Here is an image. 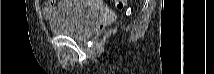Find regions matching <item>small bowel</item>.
<instances>
[{
	"label": "small bowel",
	"instance_id": "obj_1",
	"mask_svg": "<svg viewBox=\"0 0 214 74\" xmlns=\"http://www.w3.org/2000/svg\"><path fill=\"white\" fill-rule=\"evenodd\" d=\"M69 5H72V3L70 1H66V2L59 3L57 5V7L61 8V7H64V6H69ZM55 8L56 7H55L54 3H47L42 9L44 17L53 18L55 16V14H56V9Z\"/></svg>",
	"mask_w": 214,
	"mask_h": 74
}]
</instances>
